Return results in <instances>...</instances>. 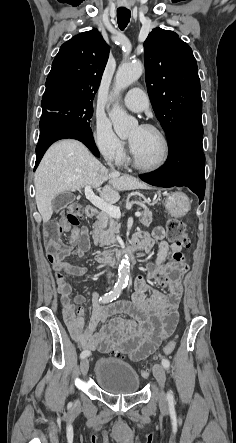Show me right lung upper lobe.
Wrapping results in <instances>:
<instances>
[{"label": "right lung upper lobe", "mask_w": 236, "mask_h": 443, "mask_svg": "<svg viewBox=\"0 0 236 443\" xmlns=\"http://www.w3.org/2000/svg\"><path fill=\"white\" fill-rule=\"evenodd\" d=\"M109 57V46L97 29L62 44L46 80L42 102L55 96L92 101Z\"/></svg>", "instance_id": "obj_1"}]
</instances>
